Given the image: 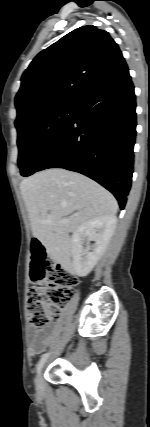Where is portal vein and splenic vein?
Listing matches in <instances>:
<instances>
[{"label":"portal vein and splenic vein","mask_w":150,"mask_h":427,"mask_svg":"<svg viewBox=\"0 0 150 427\" xmlns=\"http://www.w3.org/2000/svg\"><path fill=\"white\" fill-rule=\"evenodd\" d=\"M45 224L47 225H51L52 224V220L51 219H47L44 221ZM60 223H65V221H61Z\"/></svg>","instance_id":"portal-vein-and-splenic-vein-1"}]
</instances>
